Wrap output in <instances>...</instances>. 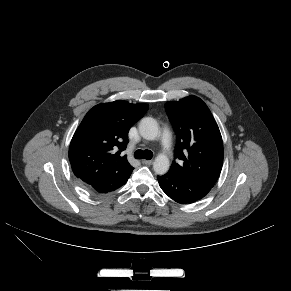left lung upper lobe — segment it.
I'll return each instance as SVG.
<instances>
[{"label": "left lung upper lobe", "instance_id": "1", "mask_svg": "<svg viewBox=\"0 0 291 291\" xmlns=\"http://www.w3.org/2000/svg\"><path fill=\"white\" fill-rule=\"evenodd\" d=\"M176 131L175 157L169 171L213 187L223 164L220 130L207 105L196 96L165 104Z\"/></svg>", "mask_w": 291, "mask_h": 291}]
</instances>
